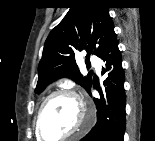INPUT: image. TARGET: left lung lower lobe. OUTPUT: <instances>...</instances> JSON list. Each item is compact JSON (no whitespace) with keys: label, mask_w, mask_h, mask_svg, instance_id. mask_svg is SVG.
<instances>
[{"label":"left lung lower lobe","mask_w":155,"mask_h":141,"mask_svg":"<svg viewBox=\"0 0 155 141\" xmlns=\"http://www.w3.org/2000/svg\"><path fill=\"white\" fill-rule=\"evenodd\" d=\"M99 57L105 63L102 74H108L104 80L106 88L103 92L99 90L100 99L94 98L97 122L91 131L82 138V141H123L126 128L125 74L116 35L111 37ZM88 93L91 95V88ZM115 99L118 100V104L112 109Z\"/></svg>","instance_id":"1"}]
</instances>
